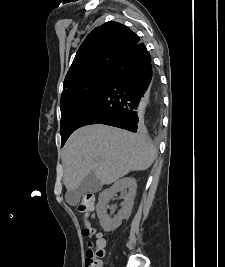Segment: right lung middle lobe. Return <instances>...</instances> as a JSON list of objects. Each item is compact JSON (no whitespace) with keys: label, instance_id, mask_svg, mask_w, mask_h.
<instances>
[{"label":"right lung middle lobe","instance_id":"obj_1","mask_svg":"<svg viewBox=\"0 0 225 267\" xmlns=\"http://www.w3.org/2000/svg\"><path fill=\"white\" fill-rule=\"evenodd\" d=\"M110 73L81 80L67 88L61 95V126L62 146L82 116L91 107L109 78Z\"/></svg>","mask_w":225,"mask_h":267}]
</instances>
